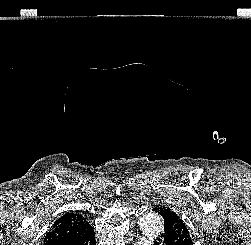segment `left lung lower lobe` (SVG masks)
Segmentation results:
<instances>
[{"mask_svg":"<svg viewBox=\"0 0 251 245\" xmlns=\"http://www.w3.org/2000/svg\"><path fill=\"white\" fill-rule=\"evenodd\" d=\"M155 245H188V243L181 240L172 230H165L155 241Z\"/></svg>","mask_w":251,"mask_h":245,"instance_id":"left-lung-lower-lobe-1","label":"left lung lower lobe"}]
</instances>
